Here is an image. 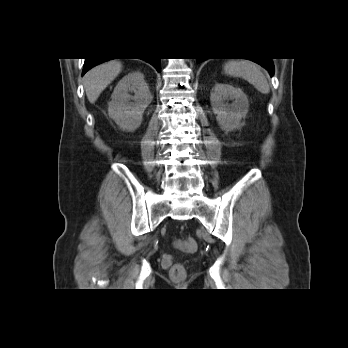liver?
<instances>
[{
    "instance_id": "6515ba94",
    "label": "liver",
    "mask_w": 348,
    "mask_h": 348,
    "mask_svg": "<svg viewBox=\"0 0 348 348\" xmlns=\"http://www.w3.org/2000/svg\"><path fill=\"white\" fill-rule=\"evenodd\" d=\"M122 71V64L117 60L102 63L90 71L84 77V88L90 103H95L102 91Z\"/></svg>"
}]
</instances>
